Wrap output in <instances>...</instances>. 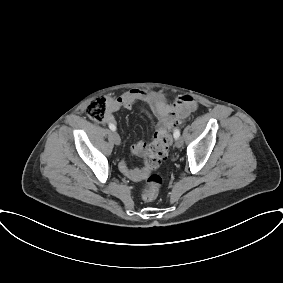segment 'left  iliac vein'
<instances>
[{
	"label": "left iliac vein",
	"mask_w": 283,
	"mask_h": 283,
	"mask_svg": "<svg viewBox=\"0 0 283 283\" xmlns=\"http://www.w3.org/2000/svg\"><path fill=\"white\" fill-rule=\"evenodd\" d=\"M182 145H183V139H182L181 137L176 138L175 146H176L177 148H181Z\"/></svg>",
	"instance_id": "obj_1"
}]
</instances>
